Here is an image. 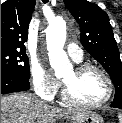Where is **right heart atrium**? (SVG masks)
Masks as SVG:
<instances>
[{
  "label": "right heart atrium",
  "instance_id": "1",
  "mask_svg": "<svg viewBox=\"0 0 122 123\" xmlns=\"http://www.w3.org/2000/svg\"><path fill=\"white\" fill-rule=\"evenodd\" d=\"M31 81L36 94L52 99L60 88L59 81L39 62L31 64Z\"/></svg>",
  "mask_w": 122,
  "mask_h": 123
}]
</instances>
